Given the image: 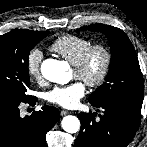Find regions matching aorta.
Masks as SVG:
<instances>
[{
  "mask_svg": "<svg viewBox=\"0 0 147 147\" xmlns=\"http://www.w3.org/2000/svg\"><path fill=\"white\" fill-rule=\"evenodd\" d=\"M41 73L48 81L58 84H66L71 80L69 64L65 61L55 59L43 61ZM61 124L63 130L67 133H76L80 129V121L76 116H65Z\"/></svg>",
  "mask_w": 147,
  "mask_h": 147,
  "instance_id": "obj_1",
  "label": "aorta"
}]
</instances>
